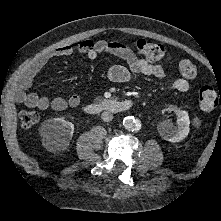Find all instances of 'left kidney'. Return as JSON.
I'll return each instance as SVG.
<instances>
[{
    "mask_svg": "<svg viewBox=\"0 0 221 221\" xmlns=\"http://www.w3.org/2000/svg\"><path fill=\"white\" fill-rule=\"evenodd\" d=\"M165 110L174 111L176 113L178 127H173V124L167 120L159 122L157 130L162 138L174 143L186 138L190 131V120L188 112L185 110H180L179 108L173 106Z\"/></svg>",
    "mask_w": 221,
    "mask_h": 221,
    "instance_id": "left-kidney-1",
    "label": "left kidney"
}]
</instances>
